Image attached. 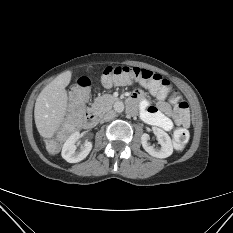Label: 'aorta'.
<instances>
[{
	"label": "aorta",
	"instance_id": "1",
	"mask_svg": "<svg viewBox=\"0 0 233 233\" xmlns=\"http://www.w3.org/2000/svg\"><path fill=\"white\" fill-rule=\"evenodd\" d=\"M115 110L117 112H122L124 110V104L122 102H117L115 104Z\"/></svg>",
	"mask_w": 233,
	"mask_h": 233
}]
</instances>
